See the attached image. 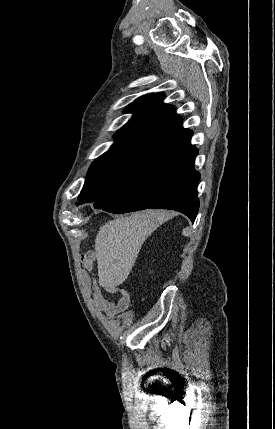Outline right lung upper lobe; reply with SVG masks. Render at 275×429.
Returning <instances> with one entry per match:
<instances>
[{
	"label": "right lung upper lobe",
	"mask_w": 275,
	"mask_h": 429,
	"mask_svg": "<svg viewBox=\"0 0 275 429\" xmlns=\"http://www.w3.org/2000/svg\"><path fill=\"white\" fill-rule=\"evenodd\" d=\"M163 99V94L154 93L131 103L125 112L136 114L114 135L116 141L109 151H124L151 159L190 138L192 131L182 127L174 108L163 104Z\"/></svg>",
	"instance_id": "cb5924a9"
}]
</instances>
